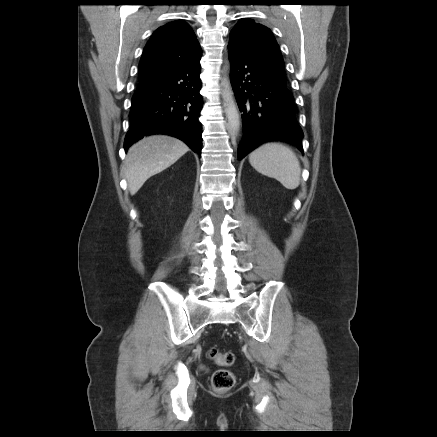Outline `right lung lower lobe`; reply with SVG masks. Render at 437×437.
<instances>
[{
    "label": "right lung lower lobe",
    "instance_id": "98d812e1",
    "mask_svg": "<svg viewBox=\"0 0 437 437\" xmlns=\"http://www.w3.org/2000/svg\"><path fill=\"white\" fill-rule=\"evenodd\" d=\"M200 58L137 87L131 100V126L124 141L126 151L145 135L167 134L181 139L201 155Z\"/></svg>",
    "mask_w": 437,
    "mask_h": 437
}]
</instances>
